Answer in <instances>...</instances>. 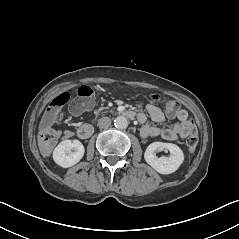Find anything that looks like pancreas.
Returning <instances> with one entry per match:
<instances>
[{
    "instance_id": "cf45deb5",
    "label": "pancreas",
    "mask_w": 239,
    "mask_h": 239,
    "mask_svg": "<svg viewBox=\"0 0 239 239\" xmlns=\"http://www.w3.org/2000/svg\"><path fill=\"white\" fill-rule=\"evenodd\" d=\"M104 109H107L106 107H100L98 110H95L94 113L97 116L101 111H103Z\"/></svg>"
}]
</instances>
